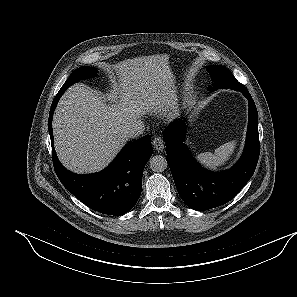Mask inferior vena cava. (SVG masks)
<instances>
[{
    "instance_id": "602c4592",
    "label": "inferior vena cava",
    "mask_w": 297,
    "mask_h": 297,
    "mask_svg": "<svg viewBox=\"0 0 297 297\" xmlns=\"http://www.w3.org/2000/svg\"><path fill=\"white\" fill-rule=\"evenodd\" d=\"M144 130L145 126L143 122L141 120H137L124 129V135L126 138H137L143 134Z\"/></svg>"
}]
</instances>
